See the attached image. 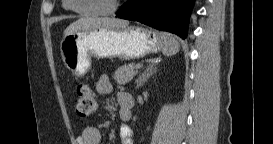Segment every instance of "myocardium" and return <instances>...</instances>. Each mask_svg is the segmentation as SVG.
I'll return each instance as SVG.
<instances>
[{
  "mask_svg": "<svg viewBox=\"0 0 273 144\" xmlns=\"http://www.w3.org/2000/svg\"><path fill=\"white\" fill-rule=\"evenodd\" d=\"M68 2H69L70 9L80 15L100 16V15H108V14H112L116 12L119 7L120 1L114 0L109 7L102 10H81L76 7L75 5L76 0H68Z\"/></svg>",
  "mask_w": 273,
  "mask_h": 144,
  "instance_id": "myocardium-1",
  "label": "myocardium"
}]
</instances>
